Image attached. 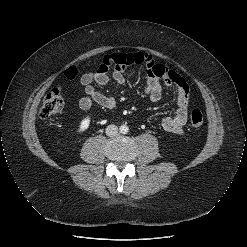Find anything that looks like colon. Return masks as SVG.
Wrapping results in <instances>:
<instances>
[{"instance_id": "5ec220e1", "label": "colon", "mask_w": 247, "mask_h": 247, "mask_svg": "<svg viewBox=\"0 0 247 247\" xmlns=\"http://www.w3.org/2000/svg\"><path fill=\"white\" fill-rule=\"evenodd\" d=\"M76 71L68 73L70 78H74ZM66 97L60 88L51 89L44 97L39 114L41 118H50L59 114L65 107ZM190 123L193 127L199 128L204 123V117L200 110H193L190 115Z\"/></svg>"}]
</instances>
